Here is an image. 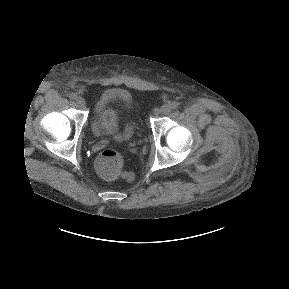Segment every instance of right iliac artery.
I'll list each match as a JSON object with an SVG mask.
<instances>
[{"instance_id": "obj_1", "label": "right iliac artery", "mask_w": 289, "mask_h": 289, "mask_svg": "<svg viewBox=\"0 0 289 289\" xmlns=\"http://www.w3.org/2000/svg\"><path fill=\"white\" fill-rule=\"evenodd\" d=\"M76 97H77V95L75 93H70L69 94V98L72 99V100L76 99Z\"/></svg>"}]
</instances>
